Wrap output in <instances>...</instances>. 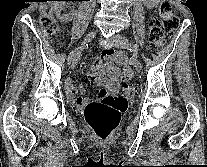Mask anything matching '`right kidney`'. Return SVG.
<instances>
[{
  "instance_id": "obj_1",
  "label": "right kidney",
  "mask_w": 207,
  "mask_h": 167,
  "mask_svg": "<svg viewBox=\"0 0 207 167\" xmlns=\"http://www.w3.org/2000/svg\"><path fill=\"white\" fill-rule=\"evenodd\" d=\"M54 3H55L54 11H55L56 16L63 22L70 21L73 16L72 12L61 15V10L64 8L65 2L64 1H55Z\"/></svg>"
}]
</instances>
